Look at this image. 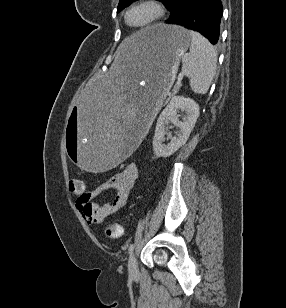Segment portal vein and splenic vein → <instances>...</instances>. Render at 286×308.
<instances>
[{
    "label": "portal vein and splenic vein",
    "instance_id": "18ae733b",
    "mask_svg": "<svg viewBox=\"0 0 286 308\" xmlns=\"http://www.w3.org/2000/svg\"><path fill=\"white\" fill-rule=\"evenodd\" d=\"M182 79H183V74L182 73H180L179 75H178V77H177V81H176V84L179 86V85H181V81H182Z\"/></svg>",
    "mask_w": 286,
    "mask_h": 308
}]
</instances>
